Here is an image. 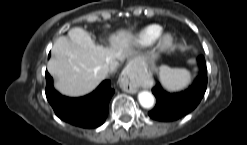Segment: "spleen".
Here are the masks:
<instances>
[{"instance_id":"spleen-1","label":"spleen","mask_w":247,"mask_h":145,"mask_svg":"<svg viewBox=\"0 0 247 145\" xmlns=\"http://www.w3.org/2000/svg\"><path fill=\"white\" fill-rule=\"evenodd\" d=\"M159 77L163 87L170 92L181 91L192 82V75L188 70L166 65L159 68Z\"/></svg>"}]
</instances>
